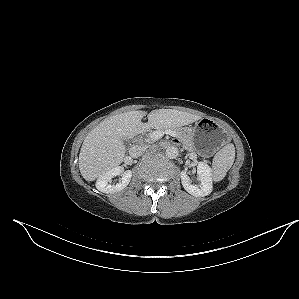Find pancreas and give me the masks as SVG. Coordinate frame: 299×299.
Masks as SVG:
<instances>
[{"mask_svg":"<svg viewBox=\"0 0 299 299\" xmlns=\"http://www.w3.org/2000/svg\"><path fill=\"white\" fill-rule=\"evenodd\" d=\"M159 130L160 131H165V130H167V128H161ZM169 130L175 131L176 134L179 136V138L182 139V141L186 144L187 149L192 151V143H191V140H190V134H191L190 129H188V128H177V129L170 128ZM151 133L152 132H150L147 135V142H153L154 141L150 136Z\"/></svg>","mask_w":299,"mask_h":299,"instance_id":"1","label":"pancreas"}]
</instances>
